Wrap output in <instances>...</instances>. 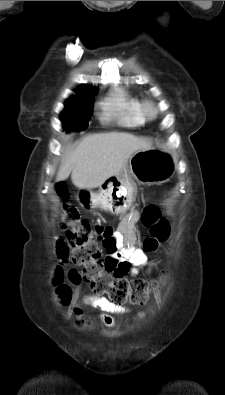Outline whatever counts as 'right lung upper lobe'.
Listing matches in <instances>:
<instances>
[{"mask_svg":"<svg viewBox=\"0 0 225 395\" xmlns=\"http://www.w3.org/2000/svg\"><path fill=\"white\" fill-rule=\"evenodd\" d=\"M82 90L78 91V94L75 96L89 97L97 93L98 89L90 88L87 86L81 87Z\"/></svg>","mask_w":225,"mask_h":395,"instance_id":"right-lung-upper-lobe-1","label":"right lung upper lobe"}]
</instances>
